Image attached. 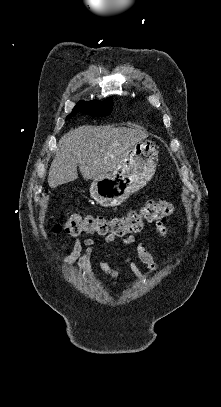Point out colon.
<instances>
[{
  "label": "colon",
  "instance_id": "5ec220e1",
  "mask_svg": "<svg viewBox=\"0 0 221 407\" xmlns=\"http://www.w3.org/2000/svg\"><path fill=\"white\" fill-rule=\"evenodd\" d=\"M172 210V201L160 199L146 203L138 212L131 211L118 217L86 216L83 218L75 214L63 224H56L53 231L55 233L64 231L71 236L87 233L121 237L141 232L145 222H154L169 215Z\"/></svg>",
  "mask_w": 221,
  "mask_h": 407
}]
</instances>
